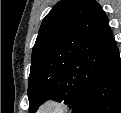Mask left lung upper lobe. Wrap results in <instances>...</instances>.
<instances>
[{"label":"left lung upper lobe","instance_id":"5c2ea615","mask_svg":"<svg viewBox=\"0 0 121 113\" xmlns=\"http://www.w3.org/2000/svg\"><path fill=\"white\" fill-rule=\"evenodd\" d=\"M115 46L95 0L59 1L44 18L32 50L29 111L50 99L73 107Z\"/></svg>","mask_w":121,"mask_h":113}]
</instances>
